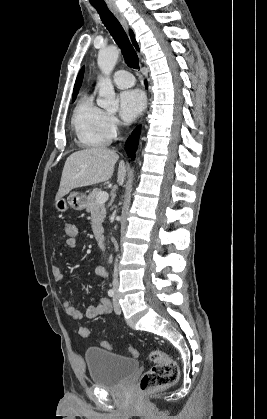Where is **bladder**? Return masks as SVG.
Wrapping results in <instances>:
<instances>
[{
  "label": "bladder",
  "instance_id": "obj_1",
  "mask_svg": "<svg viewBox=\"0 0 267 419\" xmlns=\"http://www.w3.org/2000/svg\"><path fill=\"white\" fill-rule=\"evenodd\" d=\"M85 361L94 385L104 388L121 387L139 369V362L100 347H89Z\"/></svg>",
  "mask_w": 267,
  "mask_h": 419
}]
</instances>
